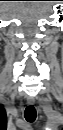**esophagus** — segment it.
<instances>
[{"instance_id":"34e87169","label":"esophagus","mask_w":63,"mask_h":130,"mask_svg":"<svg viewBox=\"0 0 63 130\" xmlns=\"http://www.w3.org/2000/svg\"><path fill=\"white\" fill-rule=\"evenodd\" d=\"M27 102H28L29 105H33V104H35V99H33V98H28V99H27Z\"/></svg>"}]
</instances>
